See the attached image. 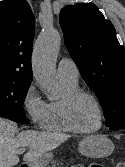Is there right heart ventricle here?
Returning a JSON list of instances; mask_svg holds the SVG:
<instances>
[{"label":"right heart ventricle","mask_w":125,"mask_h":167,"mask_svg":"<svg viewBox=\"0 0 125 167\" xmlns=\"http://www.w3.org/2000/svg\"><path fill=\"white\" fill-rule=\"evenodd\" d=\"M60 82L63 90L62 97L48 104L47 116L43 128L47 131L57 133H74L75 130L70 126L65 115L64 101L69 94L79 90L78 82L61 79Z\"/></svg>","instance_id":"e07e8e85"}]
</instances>
